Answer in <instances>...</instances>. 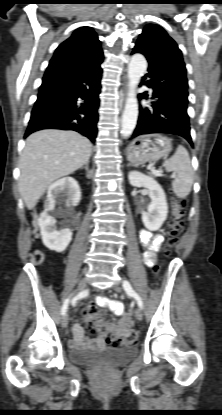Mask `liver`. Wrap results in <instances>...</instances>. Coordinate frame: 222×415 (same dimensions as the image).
I'll list each match as a JSON object with an SVG mask.
<instances>
[{
    "mask_svg": "<svg viewBox=\"0 0 222 415\" xmlns=\"http://www.w3.org/2000/svg\"><path fill=\"white\" fill-rule=\"evenodd\" d=\"M92 144L75 131L47 129L31 134L20 158L19 192L32 210L57 179L88 163Z\"/></svg>",
    "mask_w": 222,
    "mask_h": 415,
    "instance_id": "1",
    "label": "liver"
}]
</instances>
